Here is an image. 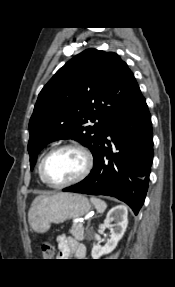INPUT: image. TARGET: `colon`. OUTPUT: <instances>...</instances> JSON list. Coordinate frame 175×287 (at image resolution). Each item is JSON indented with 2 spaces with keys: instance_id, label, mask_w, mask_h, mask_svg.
Returning a JSON list of instances; mask_svg holds the SVG:
<instances>
[{
  "instance_id": "5ec220e1",
  "label": "colon",
  "mask_w": 175,
  "mask_h": 287,
  "mask_svg": "<svg viewBox=\"0 0 175 287\" xmlns=\"http://www.w3.org/2000/svg\"><path fill=\"white\" fill-rule=\"evenodd\" d=\"M41 251L45 260H50L54 255V246L49 241H44L41 244Z\"/></svg>"
}]
</instances>
